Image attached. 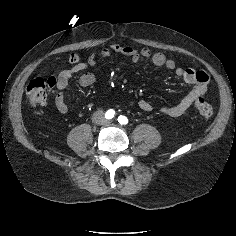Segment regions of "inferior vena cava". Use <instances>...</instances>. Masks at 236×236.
<instances>
[{
  "label": "inferior vena cava",
  "mask_w": 236,
  "mask_h": 236,
  "mask_svg": "<svg viewBox=\"0 0 236 236\" xmlns=\"http://www.w3.org/2000/svg\"><path fill=\"white\" fill-rule=\"evenodd\" d=\"M102 115H103L102 111L95 112L93 114V121L98 122V120L102 118Z\"/></svg>",
  "instance_id": "obj_1"
}]
</instances>
